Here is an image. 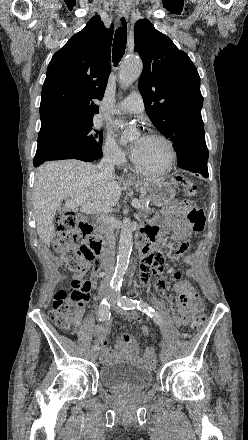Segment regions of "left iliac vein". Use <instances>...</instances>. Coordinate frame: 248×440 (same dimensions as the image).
Masks as SVG:
<instances>
[{"mask_svg": "<svg viewBox=\"0 0 248 440\" xmlns=\"http://www.w3.org/2000/svg\"><path fill=\"white\" fill-rule=\"evenodd\" d=\"M111 301H112V303H113V307H114V309H116L118 312H121V311L117 308V306H115L114 301H113V300H111ZM121 313H122V312H121ZM122 314H123V313H122ZM168 359H169L168 352H167V350H166L165 348H163L162 351H161V353H160V360H161L163 363H165V362L168 361Z\"/></svg>", "mask_w": 248, "mask_h": 440, "instance_id": "4c4485c4", "label": "left iliac vein"}]
</instances>
